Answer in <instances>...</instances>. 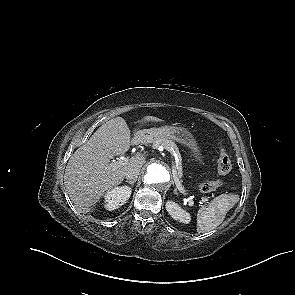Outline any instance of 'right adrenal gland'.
<instances>
[{
  "label": "right adrenal gland",
  "mask_w": 295,
  "mask_h": 295,
  "mask_svg": "<svg viewBox=\"0 0 295 295\" xmlns=\"http://www.w3.org/2000/svg\"><path fill=\"white\" fill-rule=\"evenodd\" d=\"M126 182L129 183L131 186H133L136 180H127Z\"/></svg>",
  "instance_id": "obj_1"
}]
</instances>
